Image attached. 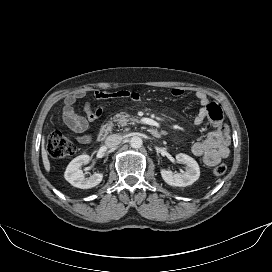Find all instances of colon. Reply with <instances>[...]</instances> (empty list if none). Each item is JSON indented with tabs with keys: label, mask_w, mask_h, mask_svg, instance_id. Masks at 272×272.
Returning a JSON list of instances; mask_svg holds the SVG:
<instances>
[{
	"label": "colon",
	"mask_w": 272,
	"mask_h": 272,
	"mask_svg": "<svg viewBox=\"0 0 272 272\" xmlns=\"http://www.w3.org/2000/svg\"><path fill=\"white\" fill-rule=\"evenodd\" d=\"M48 151L55 159H63L69 157L75 152L74 143L64 136L60 131H53L48 137ZM226 165L221 163L213 168L215 176H222L226 172Z\"/></svg>",
	"instance_id": "1"
}]
</instances>
